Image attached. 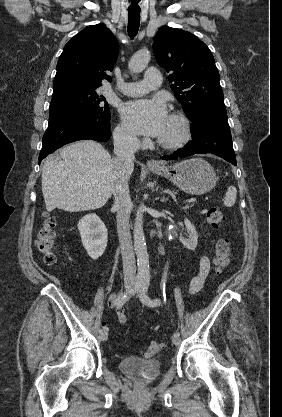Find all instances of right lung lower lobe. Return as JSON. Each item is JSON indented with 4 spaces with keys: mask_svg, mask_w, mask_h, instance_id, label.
Instances as JSON below:
<instances>
[{
    "mask_svg": "<svg viewBox=\"0 0 282 417\" xmlns=\"http://www.w3.org/2000/svg\"><path fill=\"white\" fill-rule=\"evenodd\" d=\"M110 116L97 117L84 112H70L49 120L43 136L39 163L61 146L77 140L107 141L110 138Z\"/></svg>",
    "mask_w": 282,
    "mask_h": 417,
    "instance_id": "obj_1",
    "label": "right lung lower lobe"
}]
</instances>
